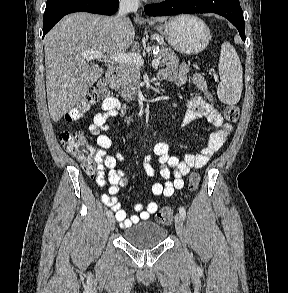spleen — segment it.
Returning <instances> with one entry per match:
<instances>
[{
  "label": "spleen",
  "instance_id": "spleen-1",
  "mask_svg": "<svg viewBox=\"0 0 288 293\" xmlns=\"http://www.w3.org/2000/svg\"><path fill=\"white\" fill-rule=\"evenodd\" d=\"M218 98L228 105L236 104L241 97L243 73L240 59L234 47L227 41L221 46L219 57Z\"/></svg>",
  "mask_w": 288,
  "mask_h": 293
}]
</instances>
